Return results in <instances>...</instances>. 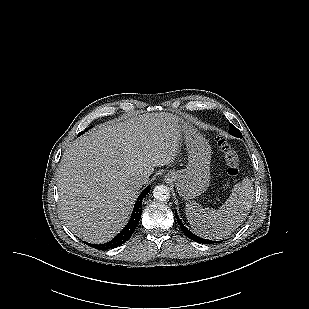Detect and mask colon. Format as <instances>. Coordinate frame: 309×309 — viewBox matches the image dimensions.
<instances>
[{
	"instance_id": "colon-1",
	"label": "colon",
	"mask_w": 309,
	"mask_h": 309,
	"mask_svg": "<svg viewBox=\"0 0 309 309\" xmlns=\"http://www.w3.org/2000/svg\"><path fill=\"white\" fill-rule=\"evenodd\" d=\"M217 144L223 154L227 173L232 177L237 176L240 172V159L236 150L223 138H217Z\"/></svg>"
}]
</instances>
